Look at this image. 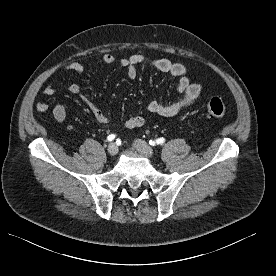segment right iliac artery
I'll use <instances>...</instances> for the list:
<instances>
[{"mask_svg":"<svg viewBox=\"0 0 276 276\" xmlns=\"http://www.w3.org/2000/svg\"><path fill=\"white\" fill-rule=\"evenodd\" d=\"M115 137H116L115 134H110V135L107 137V140H108V141H112V140L115 139Z\"/></svg>","mask_w":276,"mask_h":276,"instance_id":"obj_1","label":"right iliac artery"}]
</instances>
